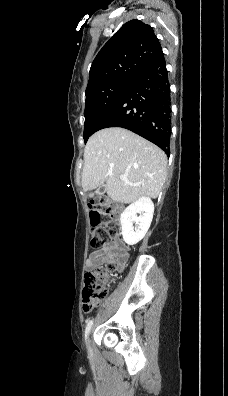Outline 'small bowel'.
I'll list each match as a JSON object with an SVG mask.
<instances>
[{
	"label": "small bowel",
	"instance_id": "small-bowel-1",
	"mask_svg": "<svg viewBox=\"0 0 228 396\" xmlns=\"http://www.w3.org/2000/svg\"><path fill=\"white\" fill-rule=\"evenodd\" d=\"M113 251V247L110 244H105L98 250L92 252L87 260L86 267L88 270H92L97 266L107 263L110 260V255ZM127 255L123 254L121 262L119 263V268H123L126 263Z\"/></svg>",
	"mask_w": 228,
	"mask_h": 396
}]
</instances>
